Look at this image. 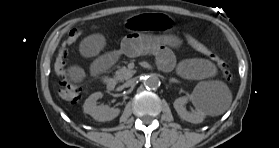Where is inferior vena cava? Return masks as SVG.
I'll use <instances>...</instances> for the list:
<instances>
[{
    "instance_id": "obj_1",
    "label": "inferior vena cava",
    "mask_w": 279,
    "mask_h": 148,
    "mask_svg": "<svg viewBox=\"0 0 279 148\" xmlns=\"http://www.w3.org/2000/svg\"><path fill=\"white\" fill-rule=\"evenodd\" d=\"M133 83H134V79H131V80H129V81H127V82L125 83V86H126V87H129V86H131Z\"/></svg>"
}]
</instances>
